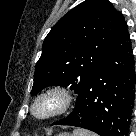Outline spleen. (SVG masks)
Returning <instances> with one entry per match:
<instances>
[{
	"label": "spleen",
	"mask_w": 136,
	"mask_h": 136,
	"mask_svg": "<svg viewBox=\"0 0 136 136\" xmlns=\"http://www.w3.org/2000/svg\"><path fill=\"white\" fill-rule=\"evenodd\" d=\"M73 136H96L95 134L90 133L82 129L75 130Z\"/></svg>",
	"instance_id": "spleen-1"
}]
</instances>
